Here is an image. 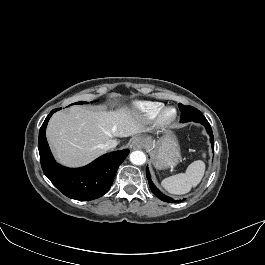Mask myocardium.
I'll return each mask as SVG.
<instances>
[{
  "instance_id": "1",
  "label": "myocardium",
  "mask_w": 265,
  "mask_h": 265,
  "mask_svg": "<svg viewBox=\"0 0 265 265\" xmlns=\"http://www.w3.org/2000/svg\"><path fill=\"white\" fill-rule=\"evenodd\" d=\"M177 118V110L174 107H164L157 115L156 123L159 127L170 126Z\"/></svg>"
}]
</instances>
